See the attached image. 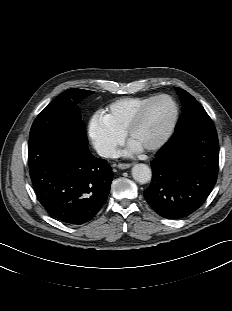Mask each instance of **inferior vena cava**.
I'll use <instances>...</instances> for the list:
<instances>
[{"mask_svg":"<svg viewBox=\"0 0 232 311\" xmlns=\"http://www.w3.org/2000/svg\"><path fill=\"white\" fill-rule=\"evenodd\" d=\"M97 153L101 157L105 158H116L118 157V152L112 148L107 146H100L96 149Z\"/></svg>","mask_w":232,"mask_h":311,"instance_id":"obj_1","label":"inferior vena cava"}]
</instances>
